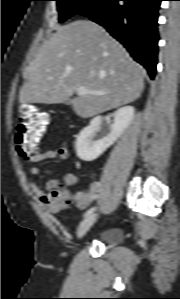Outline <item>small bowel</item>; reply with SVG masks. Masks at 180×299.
<instances>
[{"label":"small bowel","mask_w":180,"mask_h":299,"mask_svg":"<svg viewBox=\"0 0 180 299\" xmlns=\"http://www.w3.org/2000/svg\"><path fill=\"white\" fill-rule=\"evenodd\" d=\"M42 143L41 137L38 139L37 145ZM59 158L61 160H67L69 158V152L65 145H62L56 150H46L37 153L31 162L33 165L30 167V173L32 175L40 174V167L35 163L52 160ZM65 183L69 186H74L78 183V177L73 173H67L64 177ZM59 185V180L57 178H51L47 180L43 187L37 186L34 182L30 183V188L33 193L38 197L40 203L47 209L50 213H55L57 211V206L52 202V195H54V188ZM97 184H93L88 191H78L73 194L76 207L78 209H84L93 201L95 197V189ZM51 190L52 193H49ZM69 196L70 193L67 192Z\"/></svg>","instance_id":"c3829d8e"}]
</instances>
